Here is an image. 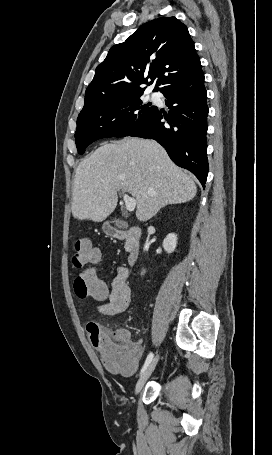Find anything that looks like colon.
<instances>
[{"mask_svg":"<svg viewBox=\"0 0 272 455\" xmlns=\"http://www.w3.org/2000/svg\"><path fill=\"white\" fill-rule=\"evenodd\" d=\"M99 259V250L94 248L89 240L78 238L74 241L72 262L75 267L83 270L74 282V290L79 298L99 301L107 298V286L96 276L93 269ZM87 333L108 369L124 371L130 367L135 355L132 345L102 330L95 323L87 325Z\"/></svg>","mask_w":272,"mask_h":455,"instance_id":"1","label":"colon"}]
</instances>
